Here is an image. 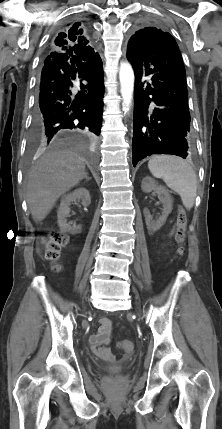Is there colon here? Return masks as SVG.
<instances>
[{"label":"colon","mask_w":222,"mask_h":429,"mask_svg":"<svg viewBox=\"0 0 222 429\" xmlns=\"http://www.w3.org/2000/svg\"><path fill=\"white\" fill-rule=\"evenodd\" d=\"M186 226H187V215L185 210L179 206L178 207V215H177V230L175 234V239L177 244L179 245L178 252H183V244L186 237ZM67 241V237L65 234L58 230H52L42 238V251L47 260H49L55 270L60 269V265L58 263L60 257V251L64 244ZM119 347L126 353H131L134 349V345L130 340H122L119 342Z\"/></svg>","instance_id":"obj_1"}]
</instances>
